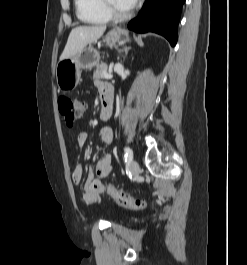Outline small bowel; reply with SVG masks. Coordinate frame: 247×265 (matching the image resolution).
Returning a JSON list of instances; mask_svg holds the SVG:
<instances>
[{
  "mask_svg": "<svg viewBox=\"0 0 247 265\" xmlns=\"http://www.w3.org/2000/svg\"><path fill=\"white\" fill-rule=\"evenodd\" d=\"M97 86L103 94L106 89H111V87L103 82H98ZM99 137L104 146H109L113 139L112 130L108 127H104L99 132ZM88 141V134L86 132H81L78 134L77 143L79 147H83ZM112 171V158L110 154H105L96 164L95 169L89 168L87 173V179L84 184L82 198L83 201L88 205L99 203V194L105 191V184L101 179L106 178ZM97 176V178H95ZM83 179V168L81 164H78L73 173L72 181L75 184L81 183Z\"/></svg>",
  "mask_w": 247,
  "mask_h": 265,
  "instance_id": "small-bowel-1",
  "label": "small bowel"
}]
</instances>
